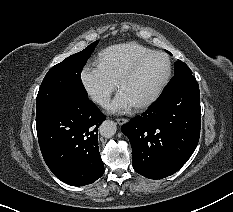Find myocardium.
Here are the masks:
<instances>
[{
	"mask_svg": "<svg viewBox=\"0 0 233 212\" xmlns=\"http://www.w3.org/2000/svg\"><path fill=\"white\" fill-rule=\"evenodd\" d=\"M155 55L163 56L166 59V62H167L166 74H165L164 78L162 79V81L160 82V84L157 86V88L153 91V93L148 98H146L144 101L134 105V107L136 109H143V108L150 106L152 103H154L156 101V99L160 96L162 91L164 90L165 86L168 84L170 77H171V73H172V62H171L170 57L162 51H151L149 53H146V54L142 55L141 57H139L138 59H136L129 66V68L122 74V76L120 77V79L117 82L118 88L121 89L123 84L135 75V73L138 71L140 66L148 58L155 56Z\"/></svg>",
	"mask_w": 233,
	"mask_h": 212,
	"instance_id": "f54148a6",
	"label": "myocardium"
}]
</instances>
